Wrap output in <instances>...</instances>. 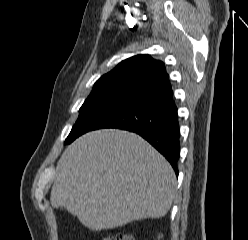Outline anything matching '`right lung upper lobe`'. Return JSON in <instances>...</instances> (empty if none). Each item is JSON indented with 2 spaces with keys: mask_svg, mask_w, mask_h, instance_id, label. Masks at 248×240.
Returning a JSON list of instances; mask_svg holds the SVG:
<instances>
[{
  "mask_svg": "<svg viewBox=\"0 0 248 240\" xmlns=\"http://www.w3.org/2000/svg\"><path fill=\"white\" fill-rule=\"evenodd\" d=\"M107 90L137 100L171 90L164 63L149 55H137L119 63L94 84L93 91Z\"/></svg>",
  "mask_w": 248,
  "mask_h": 240,
  "instance_id": "right-lung-upper-lobe-1",
  "label": "right lung upper lobe"
}]
</instances>
